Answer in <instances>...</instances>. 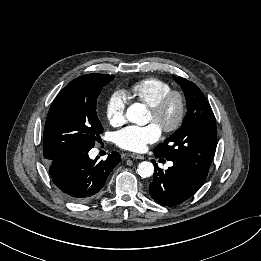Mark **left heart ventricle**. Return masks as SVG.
Listing matches in <instances>:
<instances>
[{
    "instance_id": "obj_1",
    "label": "left heart ventricle",
    "mask_w": 261,
    "mask_h": 261,
    "mask_svg": "<svg viewBox=\"0 0 261 261\" xmlns=\"http://www.w3.org/2000/svg\"><path fill=\"white\" fill-rule=\"evenodd\" d=\"M176 111H177L176 105L173 104V105L169 108V110L167 111V113L164 115L162 122L167 123V122L172 121V120L174 119L175 115H176ZM147 121H148V122H153V123H155L156 125L160 126V122L155 121V120L153 119V117H152V115H151L150 112H149V114H148V119H147Z\"/></svg>"
}]
</instances>
